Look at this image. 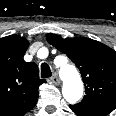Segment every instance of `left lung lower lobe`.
Segmentation results:
<instances>
[{"label": "left lung lower lobe", "mask_w": 116, "mask_h": 116, "mask_svg": "<svg viewBox=\"0 0 116 116\" xmlns=\"http://www.w3.org/2000/svg\"><path fill=\"white\" fill-rule=\"evenodd\" d=\"M70 108L78 116H105L111 112L110 110H107V109L91 108V107H79L76 105H70Z\"/></svg>", "instance_id": "1"}]
</instances>
